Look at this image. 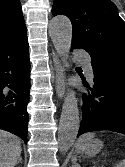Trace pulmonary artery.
<instances>
[{"label":"pulmonary artery","mask_w":125,"mask_h":167,"mask_svg":"<svg viewBox=\"0 0 125 167\" xmlns=\"http://www.w3.org/2000/svg\"><path fill=\"white\" fill-rule=\"evenodd\" d=\"M76 56L79 60L84 62L85 72H86L88 78L90 80H92L93 79V71H92V66H91L89 57L86 54L81 53V52L76 53Z\"/></svg>","instance_id":"1"}]
</instances>
